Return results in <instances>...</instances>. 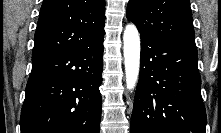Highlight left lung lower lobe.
<instances>
[{"instance_id": "obj_1", "label": "left lung lower lobe", "mask_w": 221, "mask_h": 133, "mask_svg": "<svg viewBox=\"0 0 221 133\" xmlns=\"http://www.w3.org/2000/svg\"><path fill=\"white\" fill-rule=\"evenodd\" d=\"M141 36L140 77L130 133H205L195 46Z\"/></svg>"}]
</instances>
